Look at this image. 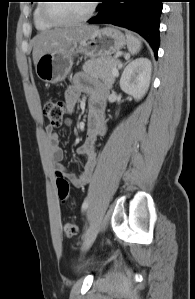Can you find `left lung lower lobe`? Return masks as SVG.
<instances>
[{"mask_svg": "<svg viewBox=\"0 0 195 299\" xmlns=\"http://www.w3.org/2000/svg\"><path fill=\"white\" fill-rule=\"evenodd\" d=\"M102 5L90 24L106 23L139 33L157 55L163 0H101Z\"/></svg>", "mask_w": 195, "mask_h": 299, "instance_id": "0a47b994", "label": "left lung lower lobe"}]
</instances>
